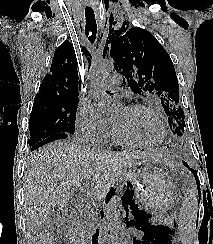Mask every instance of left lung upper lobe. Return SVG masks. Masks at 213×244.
Here are the masks:
<instances>
[{
  "label": "left lung upper lobe",
  "mask_w": 213,
  "mask_h": 244,
  "mask_svg": "<svg viewBox=\"0 0 213 244\" xmlns=\"http://www.w3.org/2000/svg\"><path fill=\"white\" fill-rule=\"evenodd\" d=\"M107 42L115 69L134 93L149 94L161 101L173 134L185 136V116L179 106V85L172 60L148 31L134 27L116 31ZM104 51V52H105Z\"/></svg>",
  "instance_id": "5c2ea615"
}]
</instances>
